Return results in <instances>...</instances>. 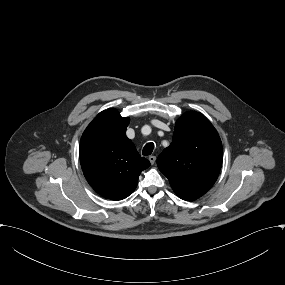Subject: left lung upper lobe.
<instances>
[{
  "label": "left lung upper lobe",
  "instance_id": "5c2ea615",
  "mask_svg": "<svg viewBox=\"0 0 285 285\" xmlns=\"http://www.w3.org/2000/svg\"><path fill=\"white\" fill-rule=\"evenodd\" d=\"M223 158L220 137L198 112H186L175 124L173 140L157 158L159 170L177 196L193 201L218 178Z\"/></svg>",
  "mask_w": 285,
  "mask_h": 285
}]
</instances>
